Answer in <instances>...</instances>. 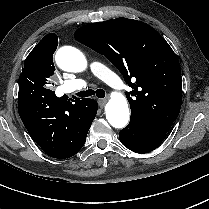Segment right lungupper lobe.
Segmentation results:
<instances>
[{"label":"right lung upper lobe","instance_id":"1","mask_svg":"<svg viewBox=\"0 0 209 209\" xmlns=\"http://www.w3.org/2000/svg\"><path fill=\"white\" fill-rule=\"evenodd\" d=\"M45 44L52 45L57 48L58 37L54 33L47 34L37 44V46ZM60 101L67 104L69 107V111H65L58 120L61 125L70 126L76 131V133L82 132L90 126L94 111V101L92 99L87 98L79 100L76 98L75 101L72 100L73 102H70L62 97L60 98Z\"/></svg>","mask_w":209,"mask_h":209}]
</instances>
